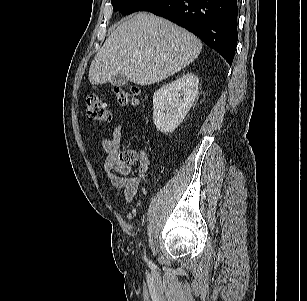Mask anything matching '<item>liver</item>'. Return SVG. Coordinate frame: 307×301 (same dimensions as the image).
<instances>
[{
	"label": "liver",
	"instance_id": "6515ba94",
	"mask_svg": "<svg viewBox=\"0 0 307 301\" xmlns=\"http://www.w3.org/2000/svg\"><path fill=\"white\" fill-rule=\"evenodd\" d=\"M201 41L176 24L149 13L122 22L106 39L89 68L92 85L124 75L138 85L157 83L192 63Z\"/></svg>",
	"mask_w": 307,
	"mask_h": 301
}]
</instances>
